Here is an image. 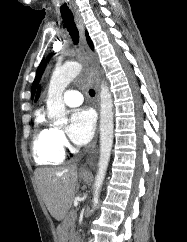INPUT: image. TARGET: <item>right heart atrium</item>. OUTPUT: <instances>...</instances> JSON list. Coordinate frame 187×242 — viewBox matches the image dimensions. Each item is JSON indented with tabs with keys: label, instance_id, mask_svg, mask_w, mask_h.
I'll list each match as a JSON object with an SVG mask.
<instances>
[{
	"label": "right heart atrium",
	"instance_id": "d8ad5b80",
	"mask_svg": "<svg viewBox=\"0 0 187 242\" xmlns=\"http://www.w3.org/2000/svg\"><path fill=\"white\" fill-rule=\"evenodd\" d=\"M55 141L61 148L68 146V141H67V139L64 135V132L62 130L56 129Z\"/></svg>",
	"mask_w": 187,
	"mask_h": 242
}]
</instances>
